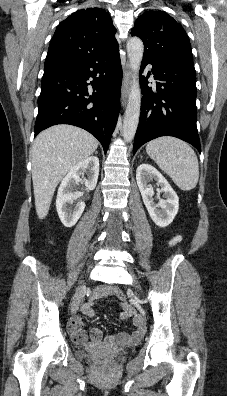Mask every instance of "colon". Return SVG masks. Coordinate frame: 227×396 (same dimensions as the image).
I'll list each match as a JSON object with an SVG mask.
<instances>
[{
  "label": "colon",
  "instance_id": "obj_1",
  "mask_svg": "<svg viewBox=\"0 0 227 396\" xmlns=\"http://www.w3.org/2000/svg\"><path fill=\"white\" fill-rule=\"evenodd\" d=\"M118 298H119V299H124V295H123L122 293H120V294L118 295Z\"/></svg>",
  "mask_w": 227,
  "mask_h": 396
}]
</instances>
